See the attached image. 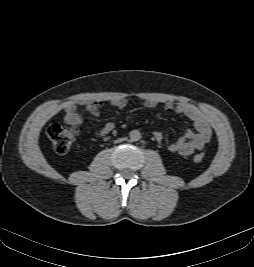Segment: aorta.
I'll list each match as a JSON object with an SVG mask.
<instances>
[{"label": "aorta", "mask_w": 254, "mask_h": 267, "mask_svg": "<svg viewBox=\"0 0 254 267\" xmlns=\"http://www.w3.org/2000/svg\"><path fill=\"white\" fill-rule=\"evenodd\" d=\"M129 136H130V140L132 142H135V141H138L141 139V133L138 131V130H132L130 133H129Z\"/></svg>", "instance_id": "762f6f07"}]
</instances>
